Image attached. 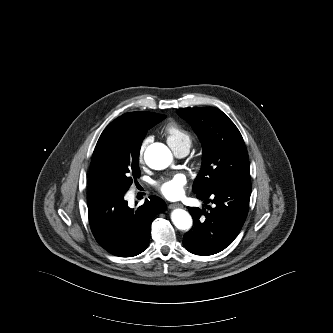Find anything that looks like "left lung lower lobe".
Returning a JSON list of instances; mask_svg holds the SVG:
<instances>
[{"instance_id": "obj_1", "label": "left lung lower lobe", "mask_w": 333, "mask_h": 333, "mask_svg": "<svg viewBox=\"0 0 333 333\" xmlns=\"http://www.w3.org/2000/svg\"><path fill=\"white\" fill-rule=\"evenodd\" d=\"M251 180H237L223 184L210 192L197 194V198L210 201L214 207L209 211L188 207L194 227L184 235L183 244L197 255L216 254L236 238L240 232L249 207Z\"/></svg>"}]
</instances>
